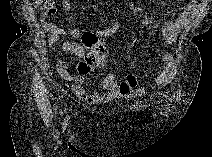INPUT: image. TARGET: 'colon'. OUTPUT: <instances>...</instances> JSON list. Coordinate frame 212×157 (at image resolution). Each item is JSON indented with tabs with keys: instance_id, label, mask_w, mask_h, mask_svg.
<instances>
[{
	"instance_id": "1",
	"label": "colon",
	"mask_w": 212,
	"mask_h": 157,
	"mask_svg": "<svg viewBox=\"0 0 212 157\" xmlns=\"http://www.w3.org/2000/svg\"><path fill=\"white\" fill-rule=\"evenodd\" d=\"M35 6L43 10L49 16L55 13L53 2L50 0H37ZM81 37L88 47V53L79 65V73L81 75H88L94 71L104 69L107 65V48L94 34L84 33Z\"/></svg>"
}]
</instances>
